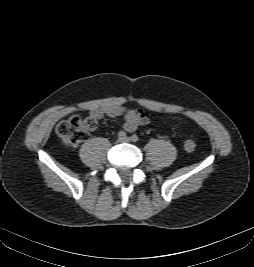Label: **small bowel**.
I'll return each mask as SVG.
<instances>
[{"mask_svg":"<svg viewBox=\"0 0 254 267\" xmlns=\"http://www.w3.org/2000/svg\"><path fill=\"white\" fill-rule=\"evenodd\" d=\"M89 117L96 121L104 117H122L124 121L123 128L127 132H133L139 126L149 122V118L142 111L119 105L94 107L90 109Z\"/></svg>","mask_w":254,"mask_h":267,"instance_id":"small-bowel-1","label":"small bowel"}]
</instances>
